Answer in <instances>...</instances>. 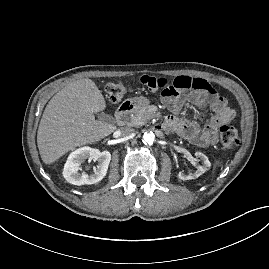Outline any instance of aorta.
I'll use <instances>...</instances> for the list:
<instances>
[{
	"mask_svg": "<svg viewBox=\"0 0 269 269\" xmlns=\"http://www.w3.org/2000/svg\"><path fill=\"white\" fill-rule=\"evenodd\" d=\"M155 141V135L153 132H145L143 135V142L145 144H152Z\"/></svg>",
	"mask_w": 269,
	"mask_h": 269,
	"instance_id": "1",
	"label": "aorta"
}]
</instances>
